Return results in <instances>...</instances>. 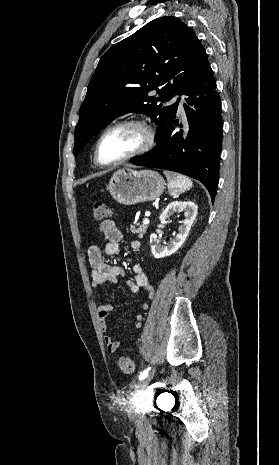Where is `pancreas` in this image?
<instances>
[{
  "instance_id": "pancreas-1",
  "label": "pancreas",
  "mask_w": 279,
  "mask_h": 465,
  "mask_svg": "<svg viewBox=\"0 0 279 465\" xmlns=\"http://www.w3.org/2000/svg\"><path fill=\"white\" fill-rule=\"evenodd\" d=\"M137 226L138 227L136 228L135 225L131 224L130 225V230L133 233H136L139 238H142L143 235L146 233L148 226L146 224H140V223H138Z\"/></svg>"
}]
</instances>
